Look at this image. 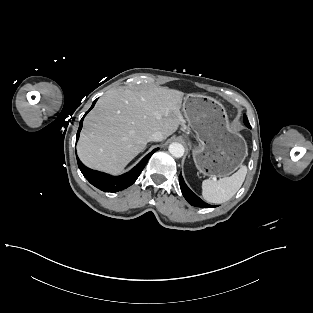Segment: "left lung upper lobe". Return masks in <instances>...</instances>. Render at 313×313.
<instances>
[{
  "instance_id": "1",
  "label": "left lung upper lobe",
  "mask_w": 313,
  "mask_h": 313,
  "mask_svg": "<svg viewBox=\"0 0 313 313\" xmlns=\"http://www.w3.org/2000/svg\"><path fill=\"white\" fill-rule=\"evenodd\" d=\"M244 123H245V125H246L248 128H251V126H250V124H249V122H248V119H247L246 115H244Z\"/></svg>"
}]
</instances>
